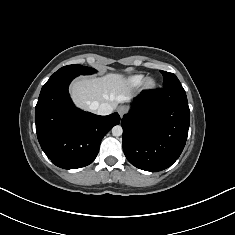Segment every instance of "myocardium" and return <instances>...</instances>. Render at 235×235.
Segmentation results:
<instances>
[{"label": "myocardium", "instance_id": "myocardium-1", "mask_svg": "<svg viewBox=\"0 0 235 235\" xmlns=\"http://www.w3.org/2000/svg\"><path fill=\"white\" fill-rule=\"evenodd\" d=\"M155 85H156V81L151 77L145 79V81L143 83V87L145 89H152L155 87Z\"/></svg>", "mask_w": 235, "mask_h": 235}]
</instances>
